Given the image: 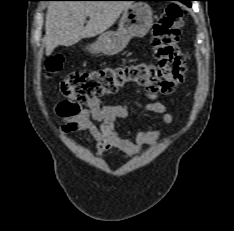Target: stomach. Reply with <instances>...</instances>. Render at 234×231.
<instances>
[{
	"mask_svg": "<svg viewBox=\"0 0 234 231\" xmlns=\"http://www.w3.org/2000/svg\"><path fill=\"white\" fill-rule=\"evenodd\" d=\"M153 25V11L143 2L132 3L124 9L116 31H106L87 47L91 53L115 55L121 52L133 37H144Z\"/></svg>",
	"mask_w": 234,
	"mask_h": 231,
	"instance_id": "0dacf381",
	"label": "stomach"
}]
</instances>
